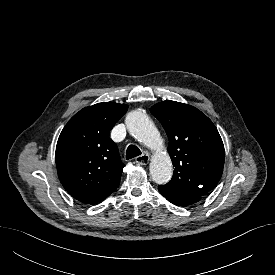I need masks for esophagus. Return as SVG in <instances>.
<instances>
[{
  "instance_id": "esophagus-1",
  "label": "esophagus",
  "mask_w": 275,
  "mask_h": 275,
  "mask_svg": "<svg viewBox=\"0 0 275 275\" xmlns=\"http://www.w3.org/2000/svg\"><path fill=\"white\" fill-rule=\"evenodd\" d=\"M135 161L139 165H147L150 161V156L148 154L144 153V154L136 157Z\"/></svg>"
}]
</instances>
